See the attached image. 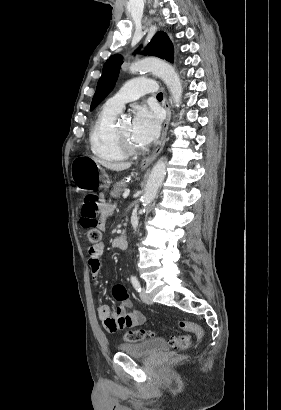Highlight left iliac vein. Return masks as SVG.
<instances>
[{
	"label": "left iliac vein",
	"instance_id": "left-iliac-vein-1",
	"mask_svg": "<svg viewBox=\"0 0 281 410\" xmlns=\"http://www.w3.org/2000/svg\"><path fill=\"white\" fill-rule=\"evenodd\" d=\"M140 298L142 301L146 304H152V299L151 297L146 293L145 289H142L140 291Z\"/></svg>",
	"mask_w": 281,
	"mask_h": 410
}]
</instances>
